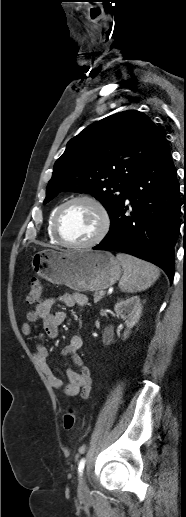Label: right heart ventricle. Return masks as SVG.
Masks as SVG:
<instances>
[{
	"label": "right heart ventricle",
	"instance_id": "e07e8e85",
	"mask_svg": "<svg viewBox=\"0 0 186 517\" xmlns=\"http://www.w3.org/2000/svg\"><path fill=\"white\" fill-rule=\"evenodd\" d=\"M57 209H58V206H57V207H55V208L51 211V213H50V215H49V218H48V222H47V234H48L49 240H50V241H51V243H53V244H60V243L58 242V240L55 238V236H54V234H53V229H52L53 217H54V215H55V213H56Z\"/></svg>",
	"mask_w": 186,
	"mask_h": 517
}]
</instances>
